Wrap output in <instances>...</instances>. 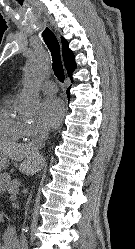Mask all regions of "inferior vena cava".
Instances as JSON below:
<instances>
[{"instance_id": "1", "label": "inferior vena cava", "mask_w": 135, "mask_h": 249, "mask_svg": "<svg viewBox=\"0 0 135 249\" xmlns=\"http://www.w3.org/2000/svg\"><path fill=\"white\" fill-rule=\"evenodd\" d=\"M48 134L49 132L47 129H41L39 131L38 137L32 140V142L30 143V146L32 150L34 151V154L40 155L39 150L45 145V141L48 138ZM18 249H28L27 240L24 236L20 240Z\"/></svg>"}]
</instances>
